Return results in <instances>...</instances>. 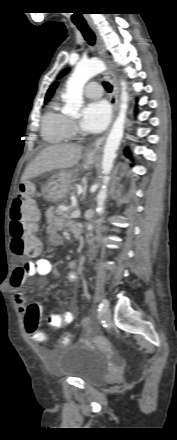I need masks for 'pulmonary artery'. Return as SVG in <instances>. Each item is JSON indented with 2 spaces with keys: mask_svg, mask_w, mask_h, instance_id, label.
<instances>
[{
  "mask_svg": "<svg viewBox=\"0 0 177 440\" xmlns=\"http://www.w3.org/2000/svg\"><path fill=\"white\" fill-rule=\"evenodd\" d=\"M85 95L91 99L100 98L102 96V87L96 82H91L85 87Z\"/></svg>",
  "mask_w": 177,
  "mask_h": 440,
  "instance_id": "obj_1",
  "label": "pulmonary artery"
}]
</instances>
